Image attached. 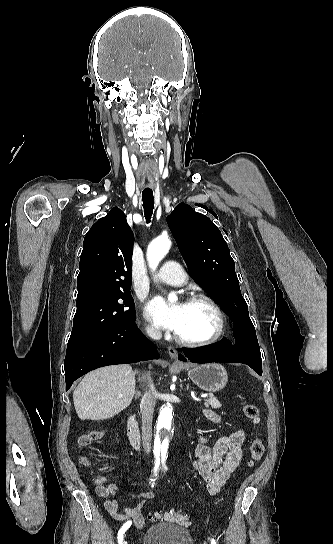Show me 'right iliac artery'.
<instances>
[{
    "instance_id": "82829eb1",
    "label": "right iliac artery",
    "mask_w": 333,
    "mask_h": 544,
    "mask_svg": "<svg viewBox=\"0 0 333 544\" xmlns=\"http://www.w3.org/2000/svg\"><path fill=\"white\" fill-rule=\"evenodd\" d=\"M158 468H159V464H156L155 467H154V475L158 472ZM154 475H153V478L151 479V481H155ZM130 526H131V523L127 522V523L123 524V526L120 528V530L118 532V544H124V534H125V532L128 530V528Z\"/></svg>"
}]
</instances>
